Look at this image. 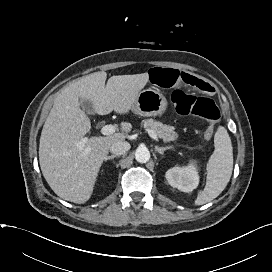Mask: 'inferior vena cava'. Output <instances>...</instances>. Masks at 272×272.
Segmentation results:
<instances>
[{
	"instance_id": "1",
	"label": "inferior vena cava",
	"mask_w": 272,
	"mask_h": 272,
	"mask_svg": "<svg viewBox=\"0 0 272 272\" xmlns=\"http://www.w3.org/2000/svg\"><path fill=\"white\" fill-rule=\"evenodd\" d=\"M130 144L126 141H118L110 146V151L115 155H122L130 150Z\"/></svg>"
}]
</instances>
